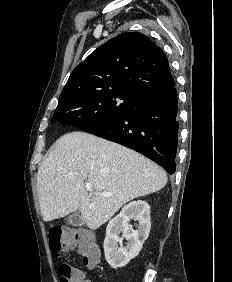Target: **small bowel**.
I'll list each match as a JSON object with an SVG mask.
<instances>
[{"instance_id":"1","label":"small bowel","mask_w":232,"mask_h":282,"mask_svg":"<svg viewBox=\"0 0 232 282\" xmlns=\"http://www.w3.org/2000/svg\"><path fill=\"white\" fill-rule=\"evenodd\" d=\"M76 272L80 277V282H92L91 280L85 278V274L81 270L77 269Z\"/></svg>"}]
</instances>
